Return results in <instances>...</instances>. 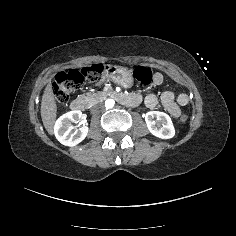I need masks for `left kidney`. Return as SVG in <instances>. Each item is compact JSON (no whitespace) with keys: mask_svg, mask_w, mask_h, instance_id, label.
<instances>
[{"mask_svg":"<svg viewBox=\"0 0 236 236\" xmlns=\"http://www.w3.org/2000/svg\"><path fill=\"white\" fill-rule=\"evenodd\" d=\"M149 132L159 139H171L175 128L171 118L164 112L150 111L145 117Z\"/></svg>","mask_w":236,"mask_h":236,"instance_id":"obj_1","label":"left kidney"}]
</instances>
